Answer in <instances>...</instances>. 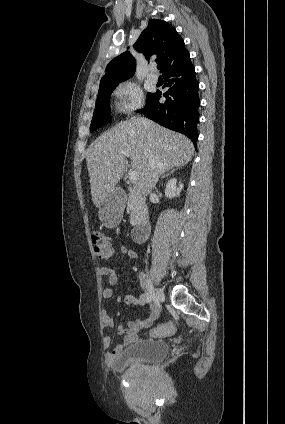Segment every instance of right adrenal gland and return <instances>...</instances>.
<instances>
[{
    "instance_id": "right-adrenal-gland-1",
    "label": "right adrenal gland",
    "mask_w": 285,
    "mask_h": 424,
    "mask_svg": "<svg viewBox=\"0 0 285 424\" xmlns=\"http://www.w3.org/2000/svg\"><path fill=\"white\" fill-rule=\"evenodd\" d=\"M177 168H172L168 171H166V173L163 174L162 179L165 177H168L169 175L173 174L176 171Z\"/></svg>"
}]
</instances>
